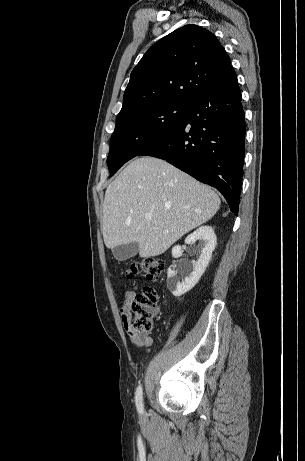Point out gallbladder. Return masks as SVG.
<instances>
[{
    "label": "gallbladder",
    "instance_id": "obj_1",
    "mask_svg": "<svg viewBox=\"0 0 305 461\" xmlns=\"http://www.w3.org/2000/svg\"><path fill=\"white\" fill-rule=\"evenodd\" d=\"M139 251L138 243L132 242L116 246L112 249L114 258L118 261H124L134 257Z\"/></svg>",
    "mask_w": 305,
    "mask_h": 461
}]
</instances>
